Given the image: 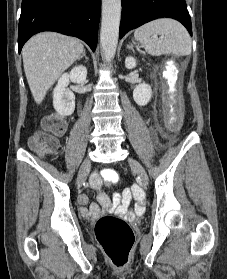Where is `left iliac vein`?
Segmentation results:
<instances>
[{"label": "left iliac vein", "mask_w": 227, "mask_h": 279, "mask_svg": "<svg viewBox=\"0 0 227 279\" xmlns=\"http://www.w3.org/2000/svg\"><path fill=\"white\" fill-rule=\"evenodd\" d=\"M129 164L131 166V168L138 174V176L140 177L142 184L144 186H147L149 183V178L147 175V172L145 171V169L143 168V166L135 159L133 158H129Z\"/></svg>", "instance_id": "left-iliac-vein-1"}]
</instances>
